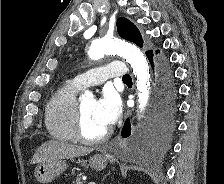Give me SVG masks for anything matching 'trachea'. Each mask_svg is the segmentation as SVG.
I'll use <instances>...</instances> for the list:
<instances>
[{
  "instance_id": "trachea-1",
  "label": "trachea",
  "mask_w": 224,
  "mask_h": 184,
  "mask_svg": "<svg viewBox=\"0 0 224 184\" xmlns=\"http://www.w3.org/2000/svg\"><path fill=\"white\" fill-rule=\"evenodd\" d=\"M123 81H128V80H132L130 75H126L122 78Z\"/></svg>"
}]
</instances>
